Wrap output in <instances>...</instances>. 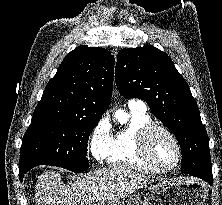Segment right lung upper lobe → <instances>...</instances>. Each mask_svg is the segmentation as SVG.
Returning a JSON list of instances; mask_svg holds the SVG:
<instances>
[{
  "instance_id": "right-lung-upper-lobe-1",
  "label": "right lung upper lobe",
  "mask_w": 222,
  "mask_h": 205,
  "mask_svg": "<svg viewBox=\"0 0 222 205\" xmlns=\"http://www.w3.org/2000/svg\"><path fill=\"white\" fill-rule=\"evenodd\" d=\"M114 57L104 48L82 45L64 58L47 84L33 117H100L112 96Z\"/></svg>"
}]
</instances>
